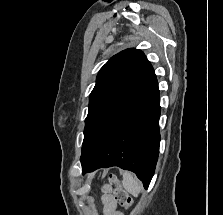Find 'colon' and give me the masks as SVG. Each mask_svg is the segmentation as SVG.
Instances as JSON below:
<instances>
[{
  "instance_id": "obj_1",
  "label": "colon",
  "mask_w": 223,
  "mask_h": 215,
  "mask_svg": "<svg viewBox=\"0 0 223 215\" xmlns=\"http://www.w3.org/2000/svg\"><path fill=\"white\" fill-rule=\"evenodd\" d=\"M111 181L115 185V189L113 191V200L115 203L120 204L129 208L132 205V198L120 184L118 179L114 176H111Z\"/></svg>"
}]
</instances>
